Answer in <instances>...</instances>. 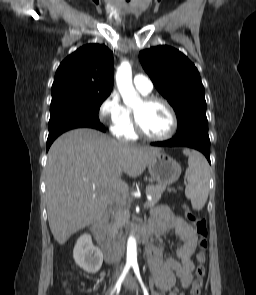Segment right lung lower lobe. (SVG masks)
<instances>
[{
    "mask_svg": "<svg viewBox=\"0 0 256 295\" xmlns=\"http://www.w3.org/2000/svg\"><path fill=\"white\" fill-rule=\"evenodd\" d=\"M89 127L105 132V127L100 123L99 118L79 120V121H63L57 122L49 126V135L47 139V150L53 141L63 132L74 128Z\"/></svg>",
    "mask_w": 256,
    "mask_h": 295,
    "instance_id": "1",
    "label": "right lung lower lobe"
}]
</instances>
